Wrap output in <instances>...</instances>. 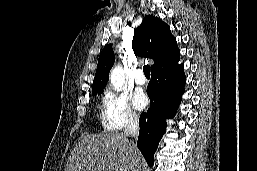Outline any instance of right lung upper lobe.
Instances as JSON below:
<instances>
[{
  "label": "right lung upper lobe",
  "instance_id": "right-lung-upper-lobe-1",
  "mask_svg": "<svg viewBox=\"0 0 257 171\" xmlns=\"http://www.w3.org/2000/svg\"><path fill=\"white\" fill-rule=\"evenodd\" d=\"M132 48L136 55L154 60L151 71L171 65L180 59V50L169 26L152 15L145 16L141 25L135 30ZM114 61L112 44H108L103 48L98 59L92 94L103 91Z\"/></svg>",
  "mask_w": 257,
  "mask_h": 171
}]
</instances>
